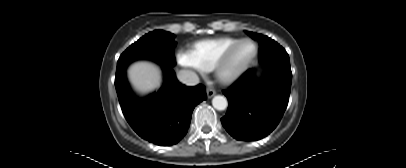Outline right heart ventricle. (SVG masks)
<instances>
[{
	"label": "right heart ventricle",
	"mask_w": 406,
	"mask_h": 168,
	"mask_svg": "<svg viewBox=\"0 0 406 168\" xmlns=\"http://www.w3.org/2000/svg\"><path fill=\"white\" fill-rule=\"evenodd\" d=\"M237 40L233 37L202 39L190 44L185 54L196 68L211 71L221 55Z\"/></svg>",
	"instance_id": "1"
}]
</instances>
